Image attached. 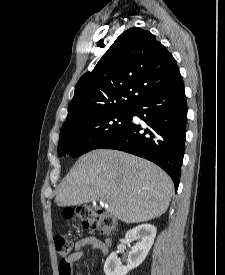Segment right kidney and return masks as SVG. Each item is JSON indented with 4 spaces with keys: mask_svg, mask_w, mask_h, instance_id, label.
Listing matches in <instances>:
<instances>
[{
    "mask_svg": "<svg viewBox=\"0 0 225 275\" xmlns=\"http://www.w3.org/2000/svg\"><path fill=\"white\" fill-rule=\"evenodd\" d=\"M156 236V228L151 224H142L129 230L125 239L132 242L134 239H139L135 244L127 260V266H123L119 261L117 254L112 252L104 264V272L106 275H126L130 270L138 267L146 258L151 249Z\"/></svg>",
    "mask_w": 225,
    "mask_h": 275,
    "instance_id": "right-kidney-1",
    "label": "right kidney"
}]
</instances>
